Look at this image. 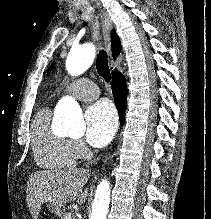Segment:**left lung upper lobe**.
<instances>
[{"label":"left lung upper lobe","instance_id":"1","mask_svg":"<svg viewBox=\"0 0 211 219\" xmlns=\"http://www.w3.org/2000/svg\"><path fill=\"white\" fill-rule=\"evenodd\" d=\"M51 69H52V66L50 67L49 72L51 71Z\"/></svg>","mask_w":211,"mask_h":219}]
</instances>
